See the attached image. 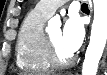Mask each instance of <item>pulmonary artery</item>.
I'll return each mask as SVG.
<instances>
[{
  "label": "pulmonary artery",
  "mask_w": 107,
  "mask_h": 75,
  "mask_svg": "<svg viewBox=\"0 0 107 75\" xmlns=\"http://www.w3.org/2000/svg\"><path fill=\"white\" fill-rule=\"evenodd\" d=\"M65 2L67 0H42L36 5L35 10L44 17L49 18Z\"/></svg>",
  "instance_id": "1"
}]
</instances>
